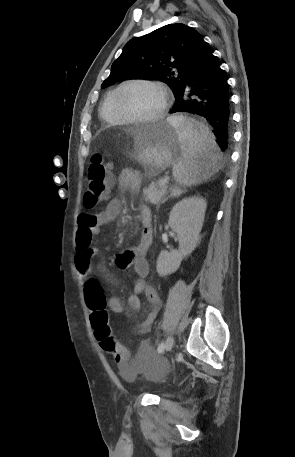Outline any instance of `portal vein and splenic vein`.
<instances>
[{"instance_id":"portal-vein-and-splenic-vein-1","label":"portal vein and splenic vein","mask_w":295,"mask_h":457,"mask_svg":"<svg viewBox=\"0 0 295 457\" xmlns=\"http://www.w3.org/2000/svg\"><path fill=\"white\" fill-rule=\"evenodd\" d=\"M167 183H168V180L166 178L165 179H161L159 181L160 186H165Z\"/></svg>"}]
</instances>
